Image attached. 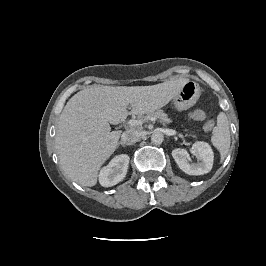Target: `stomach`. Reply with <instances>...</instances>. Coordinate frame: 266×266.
Wrapping results in <instances>:
<instances>
[{
	"mask_svg": "<svg viewBox=\"0 0 266 266\" xmlns=\"http://www.w3.org/2000/svg\"><path fill=\"white\" fill-rule=\"evenodd\" d=\"M201 94V89L198 83L187 80L179 92L173 97V102L178 110H187L192 107Z\"/></svg>",
	"mask_w": 266,
	"mask_h": 266,
	"instance_id": "stomach-1",
	"label": "stomach"
}]
</instances>
